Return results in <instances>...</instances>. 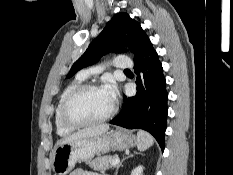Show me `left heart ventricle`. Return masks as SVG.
Wrapping results in <instances>:
<instances>
[{
    "label": "left heart ventricle",
    "instance_id": "1",
    "mask_svg": "<svg viewBox=\"0 0 233 175\" xmlns=\"http://www.w3.org/2000/svg\"><path fill=\"white\" fill-rule=\"evenodd\" d=\"M112 105L102 88L95 89L76 98L70 107V114L77 120L96 119L105 115Z\"/></svg>",
    "mask_w": 233,
    "mask_h": 175
}]
</instances>
